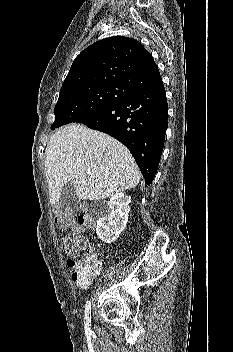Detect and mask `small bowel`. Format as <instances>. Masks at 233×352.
Here are the masks:
<instances>
[{"mask_svg":"<svg viewBox=\"0 0 233 352\" xmlns=\"http://www.w3.org/2000/svg\"><path fill=\"white\" fill-rule=\"evenodd\" d=\"M68 266L72 268V260H69V261H68ZM96 276H97V275H96ZM96 276L90 278V279L87 280V281H82V280H78V279H75V278H73V280H74L75 284H76L79 288H81V289H86V288L89 287V285L91 284V282L93 281V279H94Z\"/></svg>","mask_w":233,"mask_h":352,"instance_id":"small-bowel-1","label":"small bowel"}]
</instances>
